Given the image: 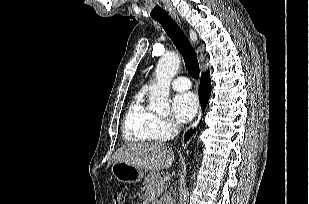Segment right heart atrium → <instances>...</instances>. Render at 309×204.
<instances>
[{
  "label": "right heart atrium",
  "instance_id": "obj_1",
  "mask_svg": "<svg viewBox=\"0 0 309 204\" xmlns=\"http://www.w3.org/2000/svg\"><path fill=\"white\" fill-rule=\"evenodd\" d=\"M180 127L176 121L169 117L157 116L153 126L155 139L168 140L173 138L179 131Z\"/></svg>",
  "mask_w": 309,
  "mask_h": 204
}]
</instances>
